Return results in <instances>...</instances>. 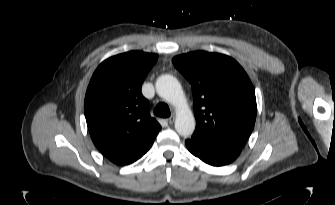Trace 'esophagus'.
I'll return each instance as SVG.
<instances>
[{"instance_id": "34e87169", "label": "esophagus", "mask_w": 335, "mask_h": 205, "mask_svg": "<svg viewBox=\"0 0 335 205\" xmlns=\"http://www.w3.org/2000/svg\"><path fill=\"white\" fill-rule=\"evenodd\" d=\"M174 121H175V117H174V116H171V117H169V118L167 119V122H168L169 124H173Z\"/></svg>"}]
</instances>
